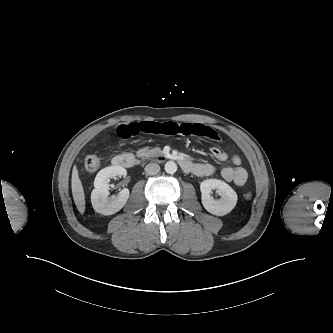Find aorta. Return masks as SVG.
I'll return each mask as SVG.
<instances>
[{
  "label": "aorta",
  "instance_id": "1",
  "mask_svg": "<svg viewBox=\"0 0 333 333\" xmlns=\"http://www.w3.org/2000/svg\"><path fill=\"white\" fill-rule=\"evenodd\" d=\"M166 173L174 174L177 171V164L174 161H168L164 167Z\"/></svg>",
  "mask_w": 333,
  "mask_h": 333
}]
</instances>
